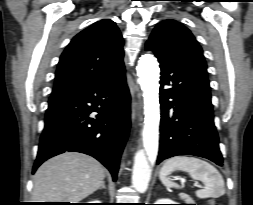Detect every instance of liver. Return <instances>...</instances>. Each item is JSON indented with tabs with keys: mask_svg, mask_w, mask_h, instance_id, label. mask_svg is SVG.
<instances>
[{
	"mask_svg": "<svg viewBox=\"0 0 253 205\" xmlns=\"http://www.w3.org/2000/svg\"><path fill=\"white\" fill-rule=\"evenodd\" d=\"M104 173V167L91 156L76 152L55 156L36 171L33 200L78 203L101 187Z\"/></svg>",
	"mask_w": 253,
	"mask_h": 205,
	"instance_id": "obj_1",
	"label": "liver"
}]
</instances>
